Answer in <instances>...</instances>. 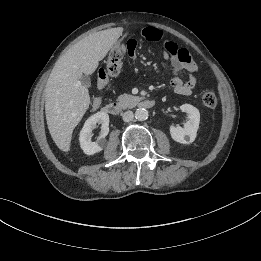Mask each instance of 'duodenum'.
I'll use <instances>...</instances> for the list:
<instances>
[{"label":"duodenum","instance_id":"obj_1","mask_svg":"<svg viewBox=\"0 0 261 261\" xmlns=\"http://www.w3.org/2000/svg\"><path fill=\"white\" fill-rule=\"evenodd\" d=\"M137 105L142 108H152L155 105V101L153 99H139L136 101ZM122 111L121 104L117 102H112L103 107V112L109 115L116 116Z\"/></svg>","mask_w":261,"mask_h":261}]
</instances>
